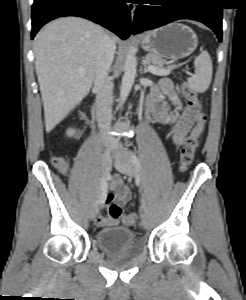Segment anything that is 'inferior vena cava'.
<instances>
[{"mask_svg": "<svg viewBox=\"0 0 246 300\" xmlns=\"http://www.w3.org/2000/svg\"><path fill=\"white\" fill-rule=\"evenodd\" d=\"M116 45L114 40L107 34H103L98 46L94 89L97 93L95 108L98 127L102 131L103 141L109 149L116 145L115 138L108 134L112 119L113 83L108 79L111 64L114 59Z\"/></svg>", "mask_w": 246, "mask_h": 300, "instance_id": "inferior-vena-cava-1", "label": "inferior vena cava"}]
</instances>
